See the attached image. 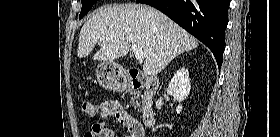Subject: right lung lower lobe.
Here are the masks:
<instances>
[{"instance_id": "right-lung-lower-lobe-1", "label": "right lung lower lobe", "mask_w": 280, "mask_h": 137, "mask_svg": "<svg viewBox=\"0 0 280 137\" xmlns=\"http://www.w3.org/2000/svg\"><path fill=\"white\" fill-rule=\"evenodd\" d=\"M155 7L202 41L221 67L229 0H136Z\"/></svg>"}]
</instances>
